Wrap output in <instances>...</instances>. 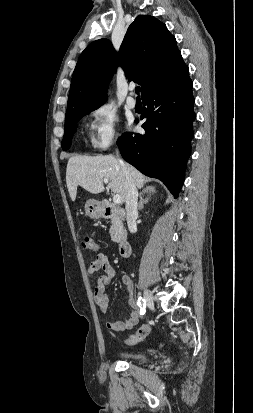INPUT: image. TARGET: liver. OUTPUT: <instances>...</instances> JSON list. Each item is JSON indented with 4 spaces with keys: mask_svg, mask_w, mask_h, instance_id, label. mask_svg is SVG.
Returning <instances> with one entry per match:
<instances>
[{
    "mask_svg": "<svg viewBox=\"0 0 253 413\" xmlns=\"http://www.w3.org/2000/svg\"><path fill=\"white\" fill-rule=\"evenodd\" d=\"M130 176L137 188H143L145 176L130 164H126ZM104 180L109 181V188L126 201L127 185L124 171L112 155L104 156H75L68 160L66 168V183L70 198L76 199L77 187L81 186L92 194H99L105 190ZM144 191H154L149 186Z\"/></svg>",
    "mask_w": 253,
    "mask_h": 413,
    "instance_id": "obj_1",
    "label": "liver"
}]
</instances>
